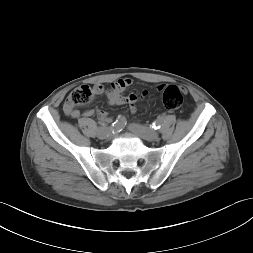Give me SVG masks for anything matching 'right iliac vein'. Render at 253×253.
Instances as JSON below:
<instances>
[{
    "mask_svg": "<svg viewBox=\"0 0 253 253\" xmlns=\"http://www.w3.org/2000/svg\"><path fill=\"white\" fill-rule=\"evenodd\" d=\"M111 134V129L109 127H102L98 130V138L99 139H107Z\"/></svg>",
    "mask_w": 253,
    "mask_h": 253,
    "instance_id": "obj_1",
    "label": "right iliac vein"
}]
</instances>
